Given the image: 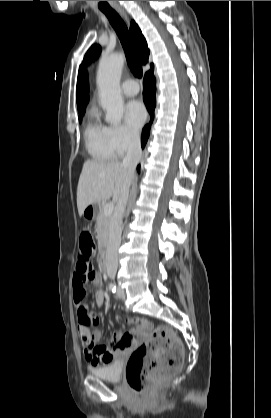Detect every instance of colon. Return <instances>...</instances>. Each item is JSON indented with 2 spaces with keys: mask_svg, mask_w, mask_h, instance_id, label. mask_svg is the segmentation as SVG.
Returning <instances> with one entry per match:
<instances>
[{
  "mask_svg": "<svg viewBox=\"0 0 271 418\" xmlns=\"http://www.w3.org/2000/svg\"><path fill=\"white\" fill-rule=\"evenodd\" d=\"M79 245V261H89L95 245L87 228L80 230ZM182 360L183 348L178 337L170 329L158 327L131 354L126 367L128 385L135 393H141L148 385L175 374Z\"/></svg>",
  "mask_w": 271,
  "mask_h": 418,
  "instance_id": "colon-1",
  "label": "colon"
}]
</instances>
